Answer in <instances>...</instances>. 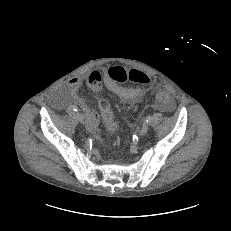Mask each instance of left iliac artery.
I'll use <instances>...</instances> for the list:
<instances>
[{
  "instance_id": "1",
  "label": "left iliac artery",
  "mask_w": 231,
  "mask_h": 231,
  "mask_svg": "<svg viewBox=\"0 0 231 231\" xmlns=\"http://www.w3.org/2000/svg\"><path fill=\"white\" fill-rule=\"evenodd\" d=\"M151 120H152L151 116H148L146 122H147L148 124H150V123H151Z\"/></svg>"
}]
</instances>
